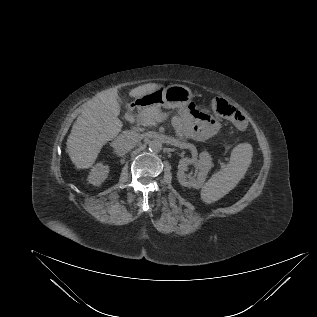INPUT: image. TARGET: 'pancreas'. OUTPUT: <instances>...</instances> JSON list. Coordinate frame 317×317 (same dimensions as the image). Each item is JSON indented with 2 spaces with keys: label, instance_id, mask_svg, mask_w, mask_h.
Listing matches in <instances>:
<instances>
[{
  "label": "pancreas",
  "instance_id": "1",
  "mask_svg": "<svg viewBox=\"0 0 317 317\" xmlns=\"http://www.w3.org/2000/svg\"><path fill=\"white\" fill-rule=\"evenodd\" d=\"M161 114L159 106H151L141 110L137 116V122L142 126H155L157 117Z\"/></svg>",
  "mask_w": 317,
  "mask_h": 317
}]
</instances>
